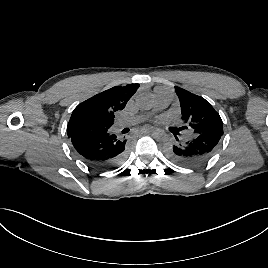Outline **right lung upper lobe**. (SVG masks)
<instances>
[{
  "mask_svg": "<svg viewBox=\"0 0 268 268\" xmlns=\"http://www.w3.org/2000/svg\"><path fill=\"white\" fill-rule=\"evenodd\" d=\"M138 88L139 84L116 86L80 103L72 112L69 120L68 136H71L70 126L81 119L91 120L110 128L113 125L114 113L124 109Z\"/></svg>",
  "mask_w": 268,
  "mask_h": 268,
  "instance_id": "1",
  "label": "right lung upper lobe"
}]
</instances>
